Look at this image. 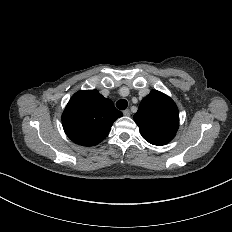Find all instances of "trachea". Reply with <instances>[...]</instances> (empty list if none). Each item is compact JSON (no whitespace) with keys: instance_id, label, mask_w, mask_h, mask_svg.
<instances>
[{"instance_id":"obj_1","label":"trachea","mask_w":232,"mask_h":232,"mask_svg":"<svg viewBox=\"0 0 232 232\" xmlns=\"http://www.w3.org/2000/svg\"><path fill=\"white\" fill-rule=\"evenodd\" d=\"M116 106L119 110H125L128 106V102L125 99L118 100Z\"/></svg>"}]
</instances>
